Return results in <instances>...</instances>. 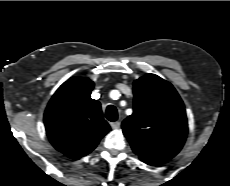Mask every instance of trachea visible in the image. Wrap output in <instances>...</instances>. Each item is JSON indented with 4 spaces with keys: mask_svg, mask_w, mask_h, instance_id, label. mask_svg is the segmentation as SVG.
Wrapping results in <instances>:
<instances>
[{
    "mask_svg": "<svg viewBox=\"0 0 230 186\" xmlns=\"http://www.w3.org/2000/svg\"><path fill=\"white\" fill-rule=\"evenodd\" d=\"M106 118L111 121V122H114L117 120L118 118V112H117V109L112 106V105H109L106 109Z\"/></svg>",
    "mask_w": 230,
    "mask_h": 186,
    "instance_id": "trachea-1",
    "label": "trachea"
}]
</instances>
